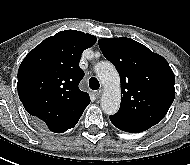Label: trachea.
<instances>
[{"label": "trachea", "mask_w": 190, "mask_h": 165, "mask_svg": "<svg viewBox=\"0 0 190 165\" xmlns=\"http://www.w3.org/2000/svg\"><path fill=\"white\" fill-rule=\"evenodd\" d=\"M89 87H90L92 90H97V89H99L100 84H99V81L97 80V78H95V77L90 78V80H89Z\"/></svg>", "instance_id": "trachea-1"}]
</instances>
